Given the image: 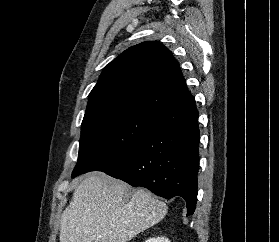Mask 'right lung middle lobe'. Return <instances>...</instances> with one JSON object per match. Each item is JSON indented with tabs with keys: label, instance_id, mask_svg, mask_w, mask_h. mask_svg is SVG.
Segmentation results:
<instances>
[{
	"label": "right lung middle lobe",
	"instance_id": "1",
	"mask_svg": "<svg viewBox=\"0 0 279 242\" xmlns=\"http://www.w3.org/2000/svg\"><path fill=\"white\" fill-rule=\"evenodd\" d=\"M159 114L140 110L98 112L84 116L77 164L72 178L100 170L134 148L157 126Z\"/></svg>",
	"mask_w": 279,
	"mask_h": 242
}]
</instances>
